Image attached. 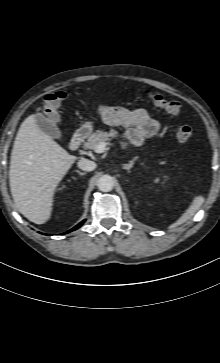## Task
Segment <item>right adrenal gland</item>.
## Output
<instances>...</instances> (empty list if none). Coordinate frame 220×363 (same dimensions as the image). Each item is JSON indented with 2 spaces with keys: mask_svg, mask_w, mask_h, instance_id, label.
<instances>
[{
  "mask_svg": "<svg viewBox=\"0 0 220 363\" xmlns=\"http://www.w3.org/2000/svg\"><path fill=\"white\" fill-rule=\"evenodd\" d=\"M75 172H77L79 175H81V176H83V175H85L86 173L85 172H81V171H79V170H75Z\"/></svg>",
  "mask_w": 220,
  "mask_h": 363,
  "instance_id": "right-adrenal-gland-1",
  "label": "right adrenal gland"
}]
</instances>
